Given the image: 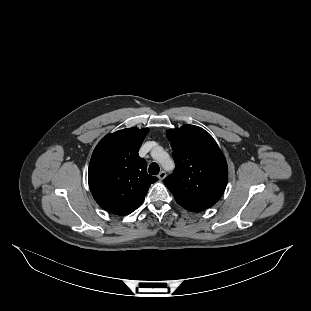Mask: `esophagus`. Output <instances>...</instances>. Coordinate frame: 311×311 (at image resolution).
Here are the masks:
<instances>
[{"instance_id":"34e87169","label":"esophagus","mask_w":311,"mask_h":311,"mask_svg":"<svg viewBox=\"0 0 311 311\" xmlns=\"http://www.w3.org/2000/svg\"><path fill=\"white\" fill-rule=\"evenodd\" d=\"M165 177H166V172H165V171H161V172L158 174V178H159L160 180H163Z\"/></svg>"}]
</instances>
